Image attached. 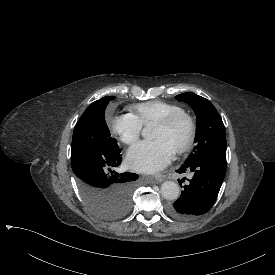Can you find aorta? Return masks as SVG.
Segmentation results:
<instances>
[{
	"label": "aorta",
	"instance_id": "762f6f07",
	"mask_svg": "<svg viewBox=\"0 0 275 275\" xmlns=\"http://www.w3.org/2000/svg\"><path fill=\"white\" fill-rule=\"evenodd\" d=\"M151 125H147L142 131V136L145 139H152ZM161 195L167 200H176L180 195V189L174 181H164L161 185Z\"/></svg>",
	"mask_w": 275,
	"mask_h": 275
}]
</instances>
